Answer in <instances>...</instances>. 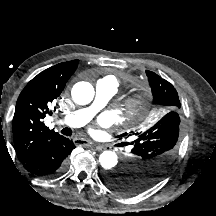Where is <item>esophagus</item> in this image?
I'll return each instance as SVG.
<instances>
[{
	"instance_id": "1",
	"label": "esophagus",
	"mask_w": 216,
	"mask_h": 216,
	"mask_svg": "<svg viewBox=\"0 0 216 216\" xmlns=\"http://www.w3.org/2000/svg\"><path fill=\"white\" fill-rule=\"evenodd\" d=\"M73 141H74V143L76 145H80V146H90V147L94 146V147H96V149L98 151H100V150L103 149V146L97 145V144H95V143H93L91 141H88V140H83V139L75 138Z\"/></svg>"
}]
</instances>
